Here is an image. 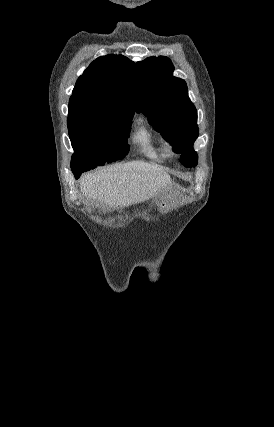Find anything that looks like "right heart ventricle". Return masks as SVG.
<instances>
[{
	"label": "right heart ventricle",
	"mask_w": 274,
	"mask_h": 427,
	"mask_svg": "<svg viewBox=\"0 0 274 427\" xmlns=\"http://www.w3.org/2000/svg\"><path fill=\"white\" fill-rule=\"evenodd\" d=\"M131 145L138 155L152 161H161L166 156L159 137L145 128H141L132 136Z\"/></svg>",
	"instance_id": "e07e8e85"
}]
</instances>
